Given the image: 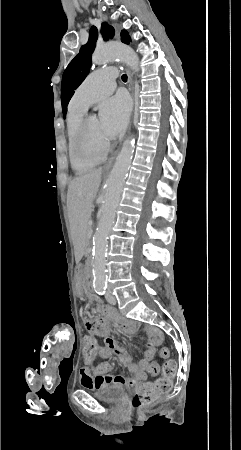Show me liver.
<instances>
[{"label":"liver","instance_id":"1","mask_svg":"<svg viewBox=\"0 0 241 450\" xmlns=\"http://www.w3.org/2000/svg\"><path fill=\"white\" fill-rule=\"evenodd\" d=\"M103 170H93L90 174L71 180L68 188L67 204L70 224H87L93 212V202L101 184Z\"/></svg>","mask_w":241,"mask_h":450}]
</instances>
